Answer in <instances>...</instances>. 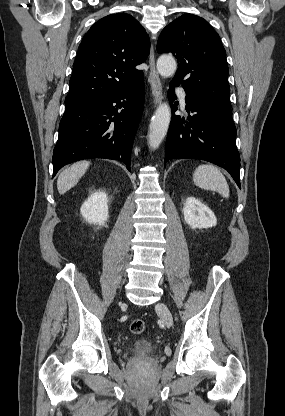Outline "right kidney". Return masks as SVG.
Here are the masks:
<instances>
[{"mask_svg": "<svg viewBox=\"0 0 285 416\" xmlns=\"http://www.w3.org/2000/svg\"><path fill=\"white\" fill-rule=\"evenodd\" d=\"M108 198L105 192H93L88 200L83 202L80 212L89 224L104 226L108 218Z\"/></svg>", "mask_w": 285, "mask_h": 416, "instance_id": "right-kidney-1", "label": "right kidney"}]
</instances>
